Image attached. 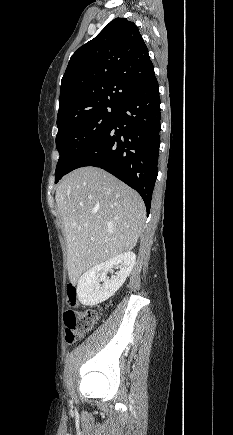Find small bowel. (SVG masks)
Segmentation results:
<instances>
[{
    "mask_svg": "<svg viewBox=\"0 0 233 435\" xmlns=\"http://www.w3.org/2000/svg\"><path fill=\"white\" fill-rule=\"evenodd\" d=\"M74 305H79V302H78V301H76V303H75Z\"/></svg>",
    "mask_w": 233,
    "mask_h": 435,
    "instance_id": "c3829d8e",
    "label": "small bowel"
}]
</instances>
